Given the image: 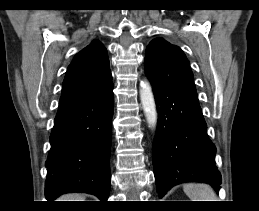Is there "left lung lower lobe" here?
Returning <instances> with one entry per match:
<instances>
[{"mask_svg":"<svg viewBox=\"0 0 259 211\" xmlns=\"http://www.w3.org/2000/svg\"><path fill=\"white\" fill-rule=\"evenodd\" d=\"M158 111L153 143L154 174L159 197L182 182H205L219 190L216 147L207 135L197 94L152 84Z\"/></svg>","mask_w":259,"mask_h":211,"instance_id":"left-lung-lower-lobe-1","label":"left lung lower lobe"}]
</instances>
